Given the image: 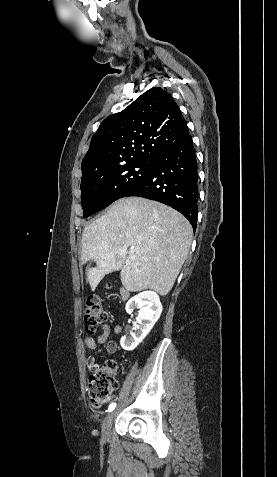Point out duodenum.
Instances as JSON below:
<instances>
[{"mask_svg":"<svg viewBox=\"0 0 277 477\" xmlns=\"http://www.w3.org/2000/svg\"><path fill=\"white\" fill-rule=\"evenodd\" d=\"M120 294H121V298H122L123 300L128 299V297H129V295H130L129 291H128L127 289H125V288H122V289L120 290Z\"/></svg>","mask_w":277,"mask_h":477,"instance_id":"410a0bca","label":"duodenum"}]
</instances>
